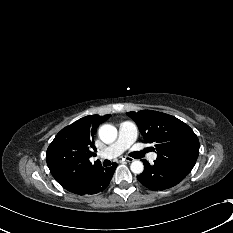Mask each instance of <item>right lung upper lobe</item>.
<instances>
[{"label":"right lung upper lobe","mask_w":233,"mask_h":233,"mask_svg":"<svg viewBox=\"0 0 233 233\" xmlns=\"http://www.w3.org/2000/svg\"><path fill=\"white\" fill-rule=\"evenodd\" d=\"M110 115H89L60 131L46 152V161L55 180L66 190L80 194L89 181L102 169L99 162L92 164L95 155L93 136L96 127Z\"/></svg>","instance_id":"cb5924a9"}]
</instances>
